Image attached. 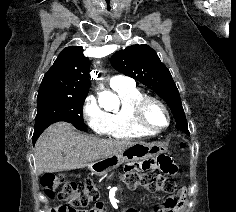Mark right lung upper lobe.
Returning a JSON list of instances; mask_svg holds the SVG:
<instances>
[{
	"mask_svg": "<svg viewBox=\"0 0 236 212\" xmlns=\"http://www.w3.org/2000/svg\"><path fill=\"white\" fill-rule=\"evenodd\" d=\"M89 73V60L83 55V48L66 47L44 75L37 98L87 95L90 84Z\"/></svg>",
	"mask_w": 236,
	"mask_h": 212,
	"instance_id": "obj_1",
	"label": "right lung upper lobe"
}]
</instances>
